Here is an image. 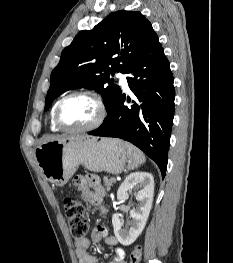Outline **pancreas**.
<instances>
[{
	"instance_id": "1",
	"label": "pancreas",
	"mask_w": 233,
	"mask_h": 263,
	"mask_svg": "<svg viewBox=\"0 0 233 263\" xmlns=\"http://www.w3.org/2000/svg\"><path fill=\"white\" fill-rule=\"evenodd\" d=\"M104 186L106 187L107 191L110 190V187L115 183L114 180L108 178L107 176L103 177Z\"/></svg>"
}]
</instances>
